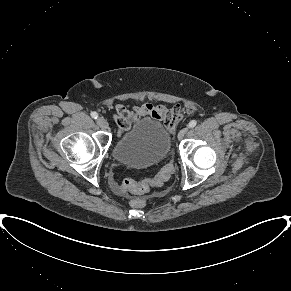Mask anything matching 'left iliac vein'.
I'll list each match as a JSON object with an SVG mask.
<instances>
[{"mask_svg":"<svg viewBox=\"0 0 291 291\" xmlns=\"http://www.w3.org/2000/svg\"><path fill=\"white\" fill-rule=\"evenodd\" d=\"M187 132H188V128L181 129L178 133V139L182 140Z\"/></svg>","mask_w":291,"mask_h":291,"instance_id":"1","label":"left iliac vein"}]
</instances>
